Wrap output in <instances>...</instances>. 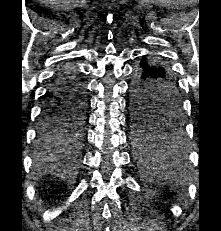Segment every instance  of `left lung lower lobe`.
<instances>
[{"label": "left lung lower lobe", "mask_w": 221, "mask_h": 231, "mask_svg": "<svg viewBox=\"0 0 221 231\" xmlns=\"http://www.w3.org/2000/svg\"><path fill=\"white\" fill-rule=\"evenodd\" d=\"M160 77V73L150 68L149 61L142 58L136 67L131 80V101L139 104L145 103L150 106H162L165 102L158 95L144 99L140 90L154 89L163 86L155 82ZM158 108V107H157ZM170 129V134H160L144 141L136 142L140 150L145 153L144 161H149L148 156H157V160L176 161L184 152V144L181 139L182 135V119L175 123ZM135 139V138H134ZM154 156V157H155ZM152 159V158H151Z\"/></svg>", "instance_id": "1"}]
</instances>
